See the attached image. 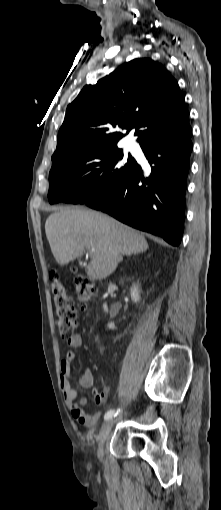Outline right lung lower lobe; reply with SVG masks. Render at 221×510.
Instances as JSON below:
<instances>
[{"mask_svg":"<svg viewBox=\"0 0 221 510\" xmlns=\"http://www.w3.org/2000/svg\"><path fill=\"white\" fill-rule=\"evenodd\" d=\"M191 135L187 125L145 141L141 148L151 171L144 173L137 165L124 181L85 204L178 246L184 229Z\"/></svg>","mask_w":221,"mask_h":510,"instance_id":"1","label":"right lung lower lobe"}]
</instances>
